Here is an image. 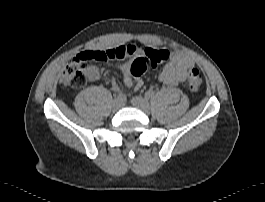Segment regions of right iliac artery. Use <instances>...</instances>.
Listing matches in <instances>:
<instances>
[{
    "instance_id": "1",
    "label": "right iliac artery",
    "mask_w": 265,
    "mask_h": 202,
    "mask_svg": "<svg viewBox=\"0 0 265 202\" xmlns=\"http://www.w3.org/2000/svg\"><path fill=\"white\" fill-rule=\"evenodd\" d=\"M115 99H119L120 101H122V99H123L122 94H118V95H116V96H115Z\"/></svg>"
}]
</instances>
